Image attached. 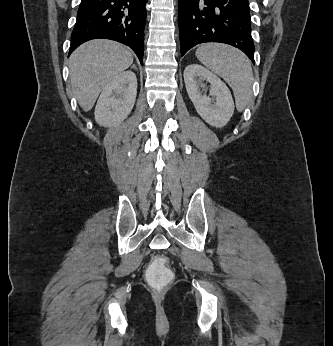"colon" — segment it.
I'll list each match as a JSON object with an SVG mask.
<instances>
[{"label":"colon","instance_id":"1","mask_svg":"<svg viewBox=\"0 0 333 346\" xmlns=\"http://www.w3.org/2000/svg\"><path fill=\"white\" fill-rule=\"evenodd\" d=\"M147 269H144L143 274L145 280L150 283V288H156L157 294H163L164 288H170V280H174V273L169 269L167 259L165 257H149Z\"/></svg>","mask_w":333,"mask_h":346}]
</instances>
